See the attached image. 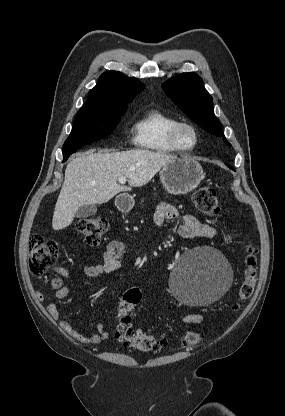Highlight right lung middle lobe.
<instances>
[{
	"label": "right lung middle lobe",
	"mask_w": 285,
	"mask_h": 416,
	"mask_svg": "<svg viewBox=\"0 0 285 416\" xmlns=\"http://www.w3.org/2000/svg\"><path fill=\"white\" fill-rule=\"evenodd\" d=\"M127 106L110 108H83L77 112L72 131L63 145L62 151L71 150L109 135Z\"/></svg>",
	"instance_id": "right-lung-middle-lobe-1"
}]
</instances>
